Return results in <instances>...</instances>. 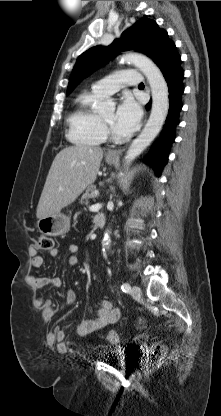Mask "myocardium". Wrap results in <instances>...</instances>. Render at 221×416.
Wrapping results in <instances>:
<instances>
[{
    "mask_svg": "<svg viewBox=\"0 0 221 416\" xmlns=\"http://www.w3.org/2000/svg\"><path fill=\"white\" fill-rule=\"evenodd\" d=\"M100 119H101V123L103 125V129H104L105 135L108 138H110L113 141H120V140H122V137L121 136L116 135L113 132V130H112L111 126L109 125V123H107L102 117H100Z\"/></svg>",
    "mask_w": 221,
    "mask_h": 416,
    "instance_id": "f54148a6",
    "label": "myocardium"
}]
</instances>
